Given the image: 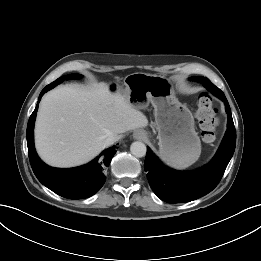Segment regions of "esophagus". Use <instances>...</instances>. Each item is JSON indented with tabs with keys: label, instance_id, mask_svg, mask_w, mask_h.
I'll list each match as a JSON object with an SVG mask.
<instances>
[{
	"label": "esophagus",
	"instance_id": "34e87169",
	"mask_svg": "<svg viewBox=\"0 0 261 261\" xmlns=\"http://www.w3.org/2000/svg\"><path fill=\"white\" fill-rule=\"evenodd\" d=\"M145 134L142 131H136L133 133V138L138 139V140H143L145 139Z\"/></svg>",
	"mask_w": 261,
	"mask_h": 261
}]
</instances>
